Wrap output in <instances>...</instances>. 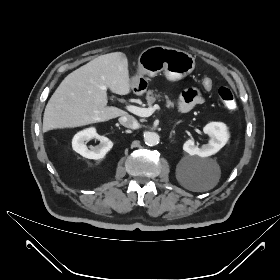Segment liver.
<instances>
[{"label":"liver","mask_w":280,"mask_h":280,"mask_svg":"<svg viewBox=\"0 0 280 280\" xmlns=\"http://www.w3.org/2000/svg\"><path fill=\"white\" fill-rule=\"evenodd\" d=\"M128 59L122 52L101 55L70 73L48 101L43 132L74 128L128 115L107 106V89L119 95L130 92Z\"/></svg>","instance_id":"obj_1"}]
</instances>
